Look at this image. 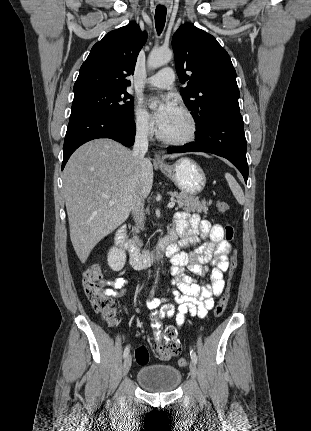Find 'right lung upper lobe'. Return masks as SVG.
I'll list each match as a JSON object with an SVG mask.
<instances>
[{"mask_svg": "<svg viewBox=\"0 0 311 431\" xmlns=\"http://www.w3.org/2000/svg\"><path fill=\"white\" fill-rule=\"evenodd\" d=\"M147 35L135 22L107 33L82 64L73 91L126 90Z\"/></svg>", "mask_w": 311, "mask_h": 431, "instance_id": "cb5924a9", "label": "right lung upper lobe"}]
</instances>
